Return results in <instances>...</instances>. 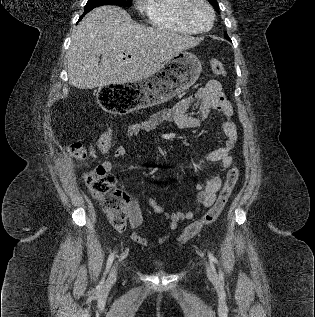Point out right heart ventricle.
I'll return each instance as SVG.
<instances>
[{
  "instance_id": "right-heart-ventricle-1",
  "label": "right heart ventricle",
  "mask_w": 315,
  "mask_h": 317,
  "mask_svg": "<svg viewBox=\"0 0 315 317\" xmlns=\"http://www.w3.org/2000/svg\"><path fill=\"white\" fill-rule=\"evenodd\" d=\"M182 3L183 0H148L145 10L149 24L164 31L194 34L180 19Z\"/></svg>"
}]
</instances>
